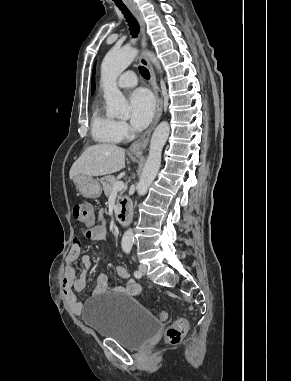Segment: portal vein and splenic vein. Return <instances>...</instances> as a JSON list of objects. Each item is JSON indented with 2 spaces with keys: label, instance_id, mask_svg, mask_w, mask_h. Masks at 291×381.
Returning <instances> with one entry per match:
<instances>
[{
  "label": "portal vein and splenic vein",
  "instance_id": "18ae733b",
  "mask_svg": "<svg viewBox=\"0 0 291 381\" xmlns=\"http://www.w3.org/2000/svg\"><path fill=\"white\" fill-rule=\"evenodd\" d=\"M124 188H125L124 182L123 181H118L113 186V192L121 191Z\"/></svg>",
  "mask_w": 291,
  "mask_h": 381
}]
</instances>
